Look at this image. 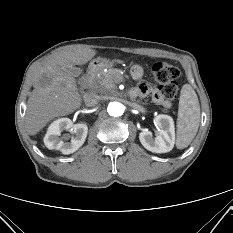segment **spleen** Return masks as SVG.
Returning a JSON list of instances; mask_svg holds the SVG:
<instances>
[{
    "label": "spleen",
    "instance_id": "1",
    "mask_svg": "<svg viewBox=\"0 0 233 233\" xmlns=\"http://www.w3.org/2000/svg\"><path fill=\"white\" fill-rule=\"evenodd\" d=\"M200 122L198 97L190 84L183 85L179 98L176 147L186 148L195 138Z\"/></svg>",
    "mask_w": 233,
    "mask_h": 233
}]
</instances>
